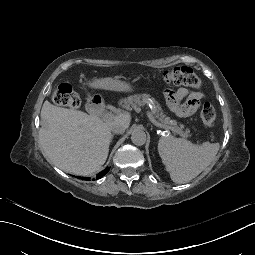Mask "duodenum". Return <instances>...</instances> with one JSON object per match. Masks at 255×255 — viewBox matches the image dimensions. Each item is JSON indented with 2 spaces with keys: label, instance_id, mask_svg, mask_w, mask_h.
Instances as JSON below:
<instances>
[{
  "label": "duodenum",
  "instance_id": "1",
  "mask_svg": "<svg viewBox=\"0 0 255 255\" xmlns=\"http://www.w3.org/2000/svg\"><path fill=\"white\" fill-rule=\"evenodd\" d=\"M86 109L94 117H101L105 112V104L101 96L88 94Z\"/></svg>",
  "mask_w": 255,
  "mask_h": 255
}]
</instances>
